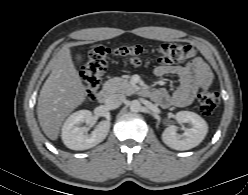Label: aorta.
<instances>
[{"mask_svg":"<svg viewBox=\"0 0 248 195\" xmlns=\"http://www.w3.org/2000/svg\"><path fill=\"white\" fill-rule=\"evenodd\" d=\"M130 110L132 112H139L141 110V103L138 100H132L130 102Z\"/></svg>","mask_w":248,"mask_h":195,"instance_id":"1","label":"aorta"}]
</instances>
